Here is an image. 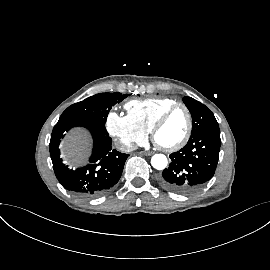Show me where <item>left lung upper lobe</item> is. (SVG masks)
I'll list each match as a JSON object with an SVG mask.
<instances>
[{
  "label": "left lung upper lobe",
  "mask_w": 270,
  "mask_h": 270,
  "mask_svg": "<svg viewBox=\"0 0 270 270\" xmlns=\"http://www.w3.org/2000/svg\"><path fill=\"white\" fill-rule=\"evenodd\" d=\"M183 102L189 109L193 119L190 138L204 131H220L214 114L204 104L191 97H184Z\"/></svg>",
  "instance_id": "left-lung-upper-lobe-1"
}]
</instances>
